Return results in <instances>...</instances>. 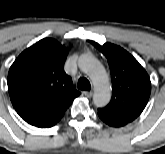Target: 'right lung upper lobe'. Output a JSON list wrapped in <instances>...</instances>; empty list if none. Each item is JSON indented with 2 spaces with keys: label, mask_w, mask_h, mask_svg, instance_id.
I'll return each mask as SVG.
<instances>
[{
  "label": "right lung upper lobe",
  "mask_w": 165,
  "mask_h": 154,
  "mask_svg": "<svg viewBox=\"0 0 165 154\" xmlns=\"http://www.w3.org/2000/svg\"><path fill=\"white\" fill-rule=\"evenodd\" d=\"M66 55L63 45L45 38L14 61L7 84L11 102L21 118H32L80 95L63 69Z\"/></svg>",
  "instance_id": "right-lung-upper-lobe-1"
}]
</instances>
